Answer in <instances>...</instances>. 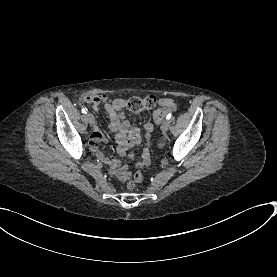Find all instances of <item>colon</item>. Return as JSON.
I'll use <instances>...</instances> for the list:
<instances>
[{
	"mask_svg": "<svg viewBox=\"0 0 277 277\" xmlns=\"http://www.w3.org/2000/svg\"><path fill=\"white\" fill-rule=\"evenodd\" d=\"M127 108L132 112H140L143 110H152L156 108V101L153 97L147 96L144 98L131 97L127 100ZM164 110L157 108L154 111V121L157 125H160L164 118ZM143 180V174L137 171L133 178L128 182V188L133 189L137 183H141Z\"/></svg>",
	"mask_w": 277,
	"mask_h": 277,
	"instance_id": "5ec220e1",
	"label": "colon"
}]
</instances>
